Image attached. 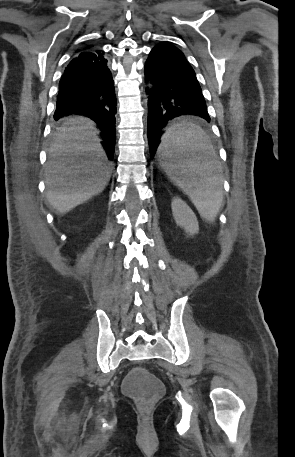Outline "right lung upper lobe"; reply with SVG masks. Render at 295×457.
I'll return each instance as SVG.
<instances>
[{"label":"right lung upper lobe","instance_id":"obj_1","mask_svg":"<svg viewBox=\"0 0 295 457\" xmlns=\"http://www.w3.org/2000/svg\"><path fill=\"white\" fill-rule=\"evenodd\" d=\"M90 47H91V46H89V47H86L85 49H87V48H90Z\"/></svg>","mask_w":295,"mask_h":457}]
</instances>
